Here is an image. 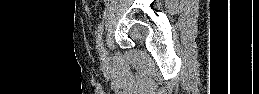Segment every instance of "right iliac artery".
I'll return each instance as SVG.
<instances>
[{
	"mask_svg": "<svg viewBox=\"0 0 259 94\" xmlns=\"http://www.w3.org/2000/svg\"><path fill=\"white\" fill-rule=\"evenodd\" d=\"M102 33H103V24L100 23L96 32V43H97V48L100 50L101 47V38H102Z\"/></svg>",
	"mask_w": 259,
	"mask_h": 94,
	"instance_id": "1",
	"label": "right iliac artery"
}]
</instances>
